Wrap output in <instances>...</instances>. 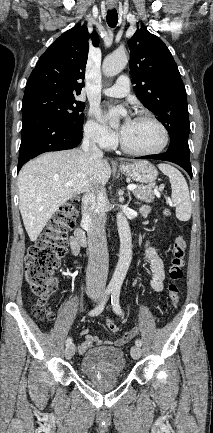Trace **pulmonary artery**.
Here are the masks:
<instances>
[{
    "instance_id": "pulmonary-artery-1",
    "label": "pulmonary artery",
    "mask_w": 213,
    "mask_h": 433,
    "mask_svg": "<svg viewBox=\"0 0 213 433\" xmlns=\"http://www.w3.org/2000/svg\"><path fill=\"white\" fill-rule=\"evenodd\" d=\"M130 91L129 79L127 76H120L116 83L108 88L103 89V93L110 97L121 98L126 96Z\"/></svg>"
}]
</instances>
